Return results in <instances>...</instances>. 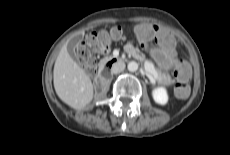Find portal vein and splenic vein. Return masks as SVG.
Masks as SVG:
<instances>
[{
	"mask_svg": "<svg viewBox=\"0 0 230 155\" xmlns=\"http://www.w3.org/2000/svg\"><path fill=\"white\" fill-rule=\"evenodd\" d=\"M148 72H150L154 76H157V72L155 71V69L153 67L149 68Z\"/></svg>",
	"mask_w": 230,
	"mask_h": 155,
	"instance_id": "obj_1",
	"label": "portal vein and splenic vein"
}]
</instances>
